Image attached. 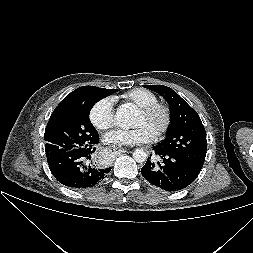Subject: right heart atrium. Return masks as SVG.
<instances>
[{
  "label": "right heart atrium",
  "mask_w": 253,
  "mask_h": 253,
  "mask_svg": "<svg viewBox=\"0 0 253 253\" xmlns=\"http://www.w3.org/2000/svg\"><path fill=\"white\" fill-rule=\"evenodd\" d=\"M90 121L98 130H107L113 127L115 117L114 101L111 97L98 100L90 110Z\"/></svg>",
  "instance_id": "d8ad5b80"
}]
</instances>
